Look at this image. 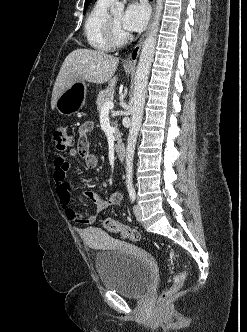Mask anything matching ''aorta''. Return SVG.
Returning <instances> with one entry per match:
<instances>
[{"label": "aorta", "instance_id": "1", "mask_svg": "<svg viewBox=\"0 0 247 332\" xmlns=\"http://www.w3.org/2000/svg\"><path fill=\"white\" fill-rule=\"evenodd\" d=\"M163 2L164 0L156 1L155 16L153 19V23L151 25V29L143 43L135 75L133 106L131 110V125L127 139L126 162H125L126 184L128 189L133 188L134 152H135L138 131L143 118L148 77L150 73L152 60L154 57V51L157 42V34L163 10ZM123 11H124V4L122 2H116L114 5L111 6L112 13H122Z\"/></svg>", "mask_w": 247, "mask_h": 332}]
</instances>
